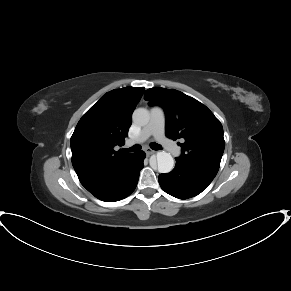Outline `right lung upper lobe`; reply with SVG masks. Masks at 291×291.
Instances as JSON below:
<instances>
[{"instance_id":"obj_1","label":"right lung upper lobe","mask_w":291,"mask_h":291,"mask_svg":"<svg viewBox=\"0 0 291 291\" xmlns=\"http://www.w3.org/2000/svg\"><path fill=\"white\" fill-rule=\"evenodd\" d=\"M143 93V87L112 90L82 116L70 141L72 165L79 178L113 168L132 155L113 147L124 145Z\"/></svg>"}]
</instances>
